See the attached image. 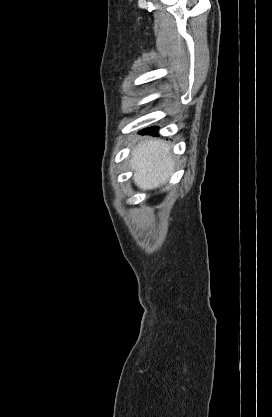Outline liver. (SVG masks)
I'll return each instance as SVG.
<instances>
[{
    "mask_svg": "<svg viewBox=\"0 0 272 417\" xmlns=\"http://www.w3.org/2000/svg\"><path fill=\"white\" fill-rule=\"evenodd\" d=\"M129 163L134 170L133 180L142 190H153L163 185L175 166L170 146L157 139H147L136 145Z\"/></svg>",
    "mask_w": 272,
    "mask_h": 417,
    "instance_id": "obj_1",
    "label": "liver"
}]
</instances>
